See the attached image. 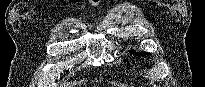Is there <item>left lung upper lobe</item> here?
Listing matches in <instances>:
<instances>
[{"instance_id": "left-lung-upper-lobe-1", "label": "left lung upper lobe", "mask_w": 205, "mask_h": 87, "mask_svg": "<svg viewBox=\"0 0 205 87\" xmlns=\"http://www.w3.org/2000/svg\"><path fill=\"white\" fill-rule=\"evenodd\" d=\"M131 53H135V54H137V55H146V54H148L147 52L137 53V52H135L134 50H132Z\"/></svg>"}]
</instances>
